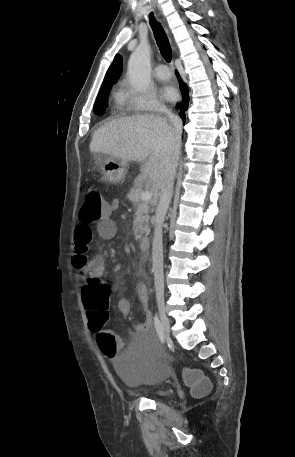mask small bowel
<instances>
[{"label": "small bowel", "instance_id": "small-bowel-1", "mask_svg": "<svg viewBox=\"0 0 295 457\" xmlns=\"http://www.w3.org/2000/svg\"><path fill=\"white\" fill-rule=\"evenodd\" d=\"M120 206L118 199H113L109 204V215L102 219L96 226L98 236L103 240H111L117 234V226L115 221L110 217L111 212L116 211ZM92 240V229L90 226H85L79 224L76 227L75 231V252L77 249L82 248L86 252L88 246ZM105 270V261L101 255L92 257L88 262L87 271L93 278H101ZM80 280L86 281V279L81 276ZM87 282V281H86ZM87 284V283H86ZM137 295L144 306L146 318L143 323H140L136 326V331L141 334L144 338H156V334L152 327V318L151 312L148 308L149 303V294L148 289L144 283H139L137 285ZM119 312L127 316L131 311V303L127 298H121L117 304ZM100 348V347H99Z\"/></svg>", "mask_w": 295, "mask_h": 457}]
</instances>
